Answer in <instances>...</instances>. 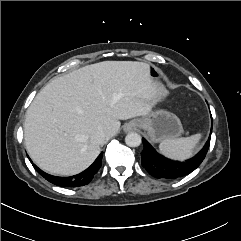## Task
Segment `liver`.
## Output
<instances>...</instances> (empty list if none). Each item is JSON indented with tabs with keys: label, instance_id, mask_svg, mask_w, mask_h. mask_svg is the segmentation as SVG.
Here are the masks:
<instances>
[{
	"label": "liver",
	"instance_id": "1",
	"mask_svg": "<svg viewBox=\"0 0 241 241\" xmlns=\"http://www.w3.org/2000/svg\"><path fill=\"white\" fill-rule=\"evenodd\" d=\"M161 94L143 62L103 61L56 77L26 112L27 152L50 174H78L100 153L90 140L93 133L103 131L110 139L120 120L149 114Z\"/></svg>",
	"mask_w": 241,
	"mask_h": 241
}]
</instances>
